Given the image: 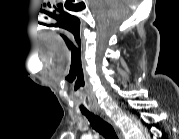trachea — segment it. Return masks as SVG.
<instances>
[{
  "label": "trachea",
  "instance_id": "obj_1",
  "mask_svg": "<svg viewBox=\"0 0 179 139\" xmlns=\"http://www.w3.org/2000/svg\"><path fill=\"white\" fill-rule=\"evenodd\" d=\"M82 114L87 117L92 128L99 132L103 137L106 139H118L115 130L109 123L105 122L100 117L95 116L91 112H82Z\"/></svg>",
  "mask_w": 179,
  "mask_h": 139
}]
</instances>
